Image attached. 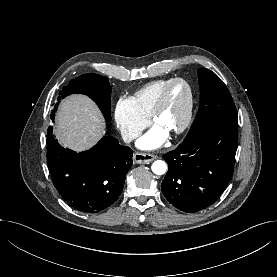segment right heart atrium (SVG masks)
<instances>
[{"instance_id":"d8ad5b80","label":"right heart atrium","mask_w":277,"mask_h":277,"mask_svg":"<svg viewBox=\"0 0 277 277\" xmlns=\"http://www.w3.org/2000/svg\"><path fill=\"white\" fill-rule=\"evenodd\" d=\"M114 119L121 137L130 141L149 124V118L135 106L131 97H121L115 108Z\"/></svg>"}]
</instances>
